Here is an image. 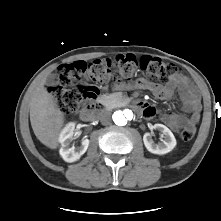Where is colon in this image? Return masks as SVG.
I'll use <instances>...</instances> for the list:
<instances>
[{
  "label": "colon",
  "mask_w": 221,
  "mask_h": 221,
  "mask_svg": "<svg viewBox=\"0 0 221 221\" xmlns=\"http://www.w3.org/2000/svg\"><path fill=\"white\" fill-rule=\"evenodd\" d=\"M137 71H145L151 84L167 85L181 75L180 69L159 58L145 56L137 59L132 56L98 59L91 63L75 61L62 65L58 70L56 83L50 94L56 105L64 113H75L89 105L97 95L96 84L109 77L119 79ZM195 135V127L188 126L181 132L184 141Z\"/></svg>",
  "instance_id": "5ec220e1"
}]
</instances>
